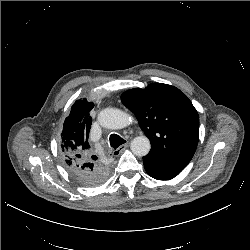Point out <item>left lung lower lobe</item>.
<instances>
[{
  "label": "left lung lower lobe",
  "mask_w": 250,
  "mask_h": 250,
  "mask_svg": "<svg viewBox=\"0 0 250 250\" xmlns=\"http://www.w3.org/2000/svg\"><path fill=\"white\" fill-rule=\"evenodd\" d=\"M146 172L157 180H170L177 176L184 167L171 166L159 163L147 156L143 157Z\"/></svg>",
  "instance_id": "1"
}]
</instances>
